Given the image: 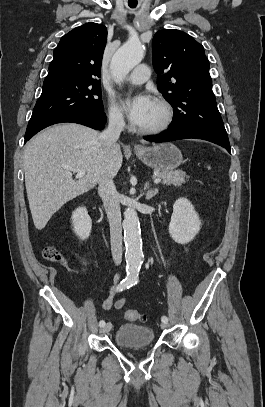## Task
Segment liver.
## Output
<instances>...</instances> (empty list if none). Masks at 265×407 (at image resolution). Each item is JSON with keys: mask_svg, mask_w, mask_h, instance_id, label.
Wrapping results in <instances>:
<instances>
[{"mask_svg": "<svg viewBox=\"0 0 265 407\" xmlns=\"http://www.w3.org/2000/svg\"><path fill=\"white\" fill-rule=\"evenodd\" d=\"M118 144L105 148L100 133L89 127L63 123L31 139L24 150L25 185L32 219L42 230L66 202L94 188L103 173L114 177L122 166ZM65 166L85 171L73 179Z\"/></svg>", "mask_w": 265, "mask_h": 407, "instance_id": "liver-1", "label": "liver"}]
</instances>
